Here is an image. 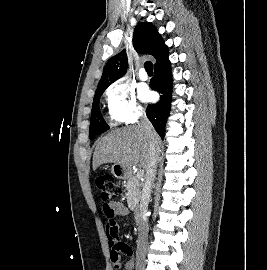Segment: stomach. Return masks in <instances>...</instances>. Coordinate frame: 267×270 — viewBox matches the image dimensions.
Masks as SVG:
<instances>
[{
  "label": "stomach",
  "mask_w": 267,
  "mask_h": 270,
  "mask_svg": "<svg viewBox=\"0 0 267 270\" xmlns=\"http://www.w3.org/2000/svg\"><path fill=\"white\" fill-rule=\"evenodd\" d=\"M111 172L117 179H123V180L128 179L132 173L129 168H126L117 163L112 165Z\"/></svg>",
  "instance_id": "obj_1"
}]
</instances>
